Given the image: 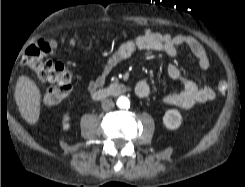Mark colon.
Here are the masks:
<instances>
[{"label":"colon","mask_w":245,"mask_h":187,"mask_svg":"<svg viewBox=\"0 0 245 187\" xmlns=\"http://www.w3.org/2000/svg\"><path fill=\"white\" fill-rule=\"evenodd\" d=\"M57 46L58 42L53 38L40 39L26 48L22 59V66L33 71L41 83L51 84L42 98L47 106H53L65 100L73 88L72 71L64 64L46 58ZM227 87V83L221 81L217 84V91L225 94Z\"/></svg>","instance_id":"colon-1"}]
</instances>
